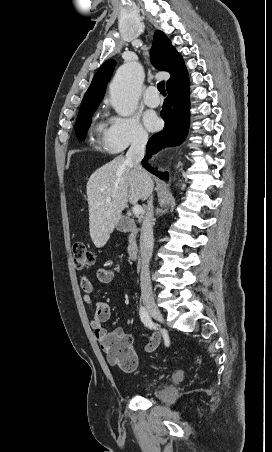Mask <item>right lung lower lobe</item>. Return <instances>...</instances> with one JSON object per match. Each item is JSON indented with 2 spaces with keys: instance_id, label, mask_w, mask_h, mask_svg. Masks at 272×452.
Here are the masks:
<instances>
[{
  "instance_id": "obj_1",
  "label": "right lung lower lobe",
  "mask_w": 272,
  "mask_h": 452,
  "mask_svg": "<svg viewBox=\"0 0 272 452\" xmlns=\"http://www.w3.org/2000/svg\"><path fill=\"white\" fill-rule=\"evenodd\" d=\"M168 90L161 116L165 121L162 131L154 134L147 144V153L142 160L143 166L160 179L168 180V172L160 173L146 162L151 155L163 147L179 145L187 135L189 127V81L188 78Z\"/></svg>"
}]
</instances>
